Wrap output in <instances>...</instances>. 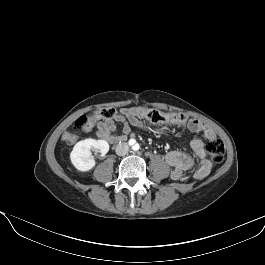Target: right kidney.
Listing matches in <instances>:
<instances>
[{"label":"right kidney","mask_w":265,"mask_h":265,"mask_svg":"<svg viewBox=\"0 0 265 265\" xmlns=\"http://www.w3.org/2000/svg\"><path fill=\"white\" fill-rule=\"evenodd\" d=\"M91 149H98L101 156L109 151V144L105 140L85 139L74 146L70 159L72 164L79 171H89L95 166V160L91 156Z\"/></svg>","instance_id":"right-kidney-1"}]
</instances>
